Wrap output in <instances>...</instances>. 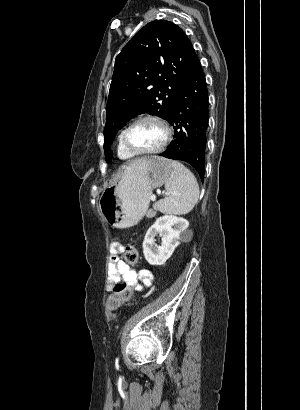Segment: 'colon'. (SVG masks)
I'll list each match as a JSON object with an SVG mask.
<instances>
[{"mask_svg":"<svg viewBox=\"0 0 300 410\" xmlns=\"http://www.w3.org/2000/svg\"><path fill=\"white\" fill-rule=\"evenodd\" d=\"M122 256L126 263L134 264L138 260V250L133 245H126L123 247ZM132 295V288L127 283H117L109 295L107 305L110 309H116L126 303Z\"/></svg>","mask_w":300,"mask_h":410,"instance_id":"colon-1","label":"colon"}]
</instances>
